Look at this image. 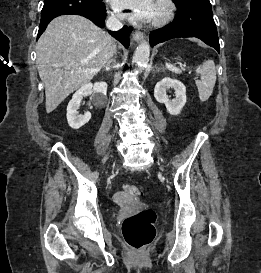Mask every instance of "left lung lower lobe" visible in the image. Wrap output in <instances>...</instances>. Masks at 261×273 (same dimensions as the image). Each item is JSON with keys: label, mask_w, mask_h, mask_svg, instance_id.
I'll list each match as a JSON object with an SVG mask.
<instances>
[{"label": "left lung lower lobe", "mask_w": 261, "mask_h": 273, "mask_svg": "<svg viewBox=\"0 0 261 273\" xmlns=\"http://www.w3.org/2000/svg\"><path fill=\"white\" fill-rule=\"evenodd\" d=\"M177 15L167 26L152 31L150 45L179 37H196L220 51L219 38L209 0H182L175 3Z\"/></svg>", "instance_id": "1"}]
</instances>
